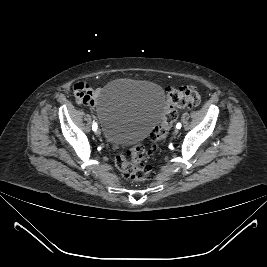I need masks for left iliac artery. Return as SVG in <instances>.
Returning <instances> with one entry per match:
<instances>
[{
	"mask_svg": "<svg viewBox=\"0 0 267 267\" xmlns=\"http://www.w3.org/2000/svg\"><path fill=\"white\" fill-rule=\"evenodd\" d=\"M176 127H177L178 129H180V128H181V123H177Z\"/></svg>",
	"mask_w": 267,
	"mask_h": 267,
	"instance_id": "left-iliac-artery-1",
	"label": "left iliac artery"
}]
</instances>
